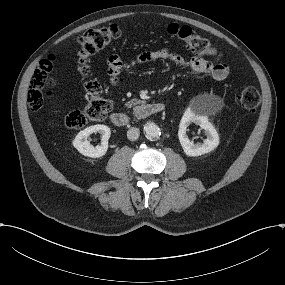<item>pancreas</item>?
<instances>
[{
    "label": "pancreas",
    "instance_id": "1",
    "mask_svg": "<svg viewBox=\"0 0 285 285\" xmlns=\"http://www.w3.org/2000/svg\"><path fill=\"white\" fill-rule=\"evenodd\" d=\"M145 103H146V101L138 100V99L135 98V99H132L129 102H127L125 104V106L128 107V108H131V107L136 106L138 104H145Z\"/></svg>",
    "mask_w": 285,
    "mask_h": 285
}]
</instances>
